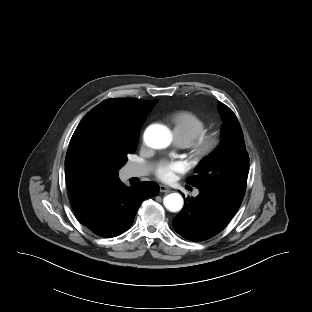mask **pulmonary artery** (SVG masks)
I'll return each instance as SVG.
<instances>
[{"instance_id":"1","label":"pulmonary artery","mask_w":312,"mask_h":312,"mask_svg":"<svg viewBox=\"0 0 312 312\" xmlns=\"http://www.w3.org/2000/svg\"><path fill=\"white\" fill-rule=\"evenodd\" d=\"M178 144L181 146H187L188 144L183 141L177 140ZM150 166L146 164H131L127 169L128 177H140L148 174ZM194 195H198V191L194 192Z\"/></svg>"}]
</instances>
